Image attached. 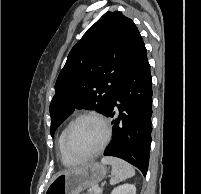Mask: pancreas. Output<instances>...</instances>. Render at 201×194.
<instances>
[{"label":"pancreas","mask_w":201,"mask_h":194,"mask_svg":"<svg viewBox=\"0 0 201 194\" xmlns=\"http://www.w3.org/2000/svg\"><path fill=\"white\" fill-rule=\"evenodd\" d=\"M87 194H96L94 191H90L89 193H87ZM97 194H102V190L99 192V193H97Z\"/></svg>","instance_id":"cf45deb5"}]
</instances>
